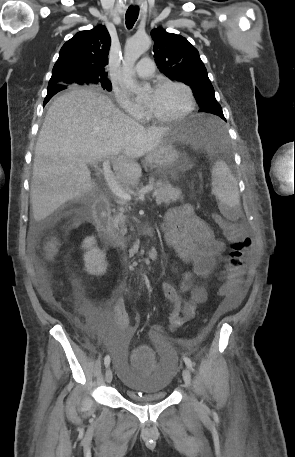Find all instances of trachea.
Segmentation results:
<instances>
[{
	"mask_svg": "<svg viewBox=\"0 0 295 457\" xmlns=\"http://www.w3.org/2000/svg\"><path fill=\"white\" fill-rule=\"evenodd\" d=\"M138 15H139V10L134 7V6H130L126 12V26L128 29H131L137 18H138Z\"/></svg>",
	"mask_w": 295,
	"mask_h": 457,
	"instance_id": "obj_1",
	"label": "trachea"
}]
</instances>
